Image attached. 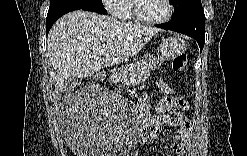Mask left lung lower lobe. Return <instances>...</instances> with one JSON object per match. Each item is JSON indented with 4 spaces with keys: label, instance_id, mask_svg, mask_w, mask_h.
<instances>
[{
    "label": "left lung lower lobe",
    "instance_id": "0a47b994",
    "mask_svg": "<svg viewBox=\"0 0 247 156\" xmlns=\"http://www.w3.org/2000/svg\"><path fill=\"white\" fill-rule=\"evenodd\" d=\"M157 27L183 33L194 38L202 51L205 41V15L202 5L194 7L187 15L171 20L168 23L158 24Z\"/></svg>",
    "mask_w": 247,
    "mask_h": 156
}]
</instances>
